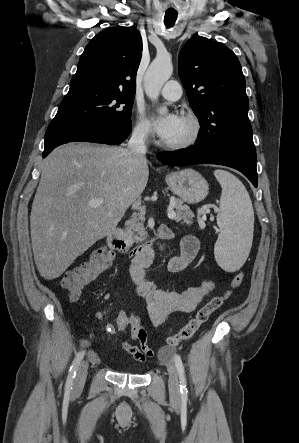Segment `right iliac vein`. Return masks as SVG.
I'll list each match as a JSON object with an SVG mask.
<instances>
[{
    "label": "right iliac vein",
    "instance_id": "right-iliac-vein-1",
    "mask_svg": "<svg viewBox=\"0 0 299 443\" xmlns=\"http://www.w3.org/2000/svg\"><path fill=\"white\" fill-rule=\"evenodd\" d=\"M88 366H89V363L87 360H84L80 364V366L77 370L76 377L74 379V388L76 390H80L83 388V386L85 384L86 377H87Z\"/></svg>",
    "mask_w": 299,
    "mask_h": 443
}]
</instances>
